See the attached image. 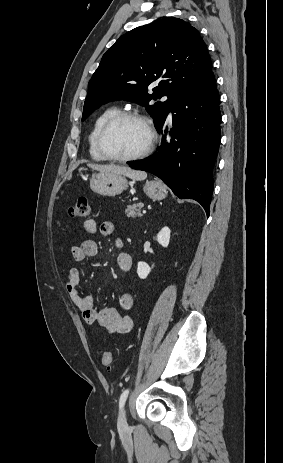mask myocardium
<instances>
[{"instance_id":"f54148a6","label":"myocardium","mask_w":283,"mask_h":463,"mask_svg":"<svg viewBox=\"0 0 283 463\" xmlns=\"http://www.w3.org/2000/svg\"><path fill=\"white\" fill-rule=\"evenodd\" d=\"M128 119L138 120L144 125L148 133V142L145 148L139 153L132 155V156L121 157V156L114 155L108 151L106 147V137L109 131L114 126ZM156 140H157V134H156L155 128L151 120L147 116L137 111H123L109 118L100 128L98 132V136H97V146H98L100 153L105 157V159L113 161V162L128 163V162L138 161V160H141L147 157L153 151L155 144H156Z\"/></svg>"}]
</instances>
